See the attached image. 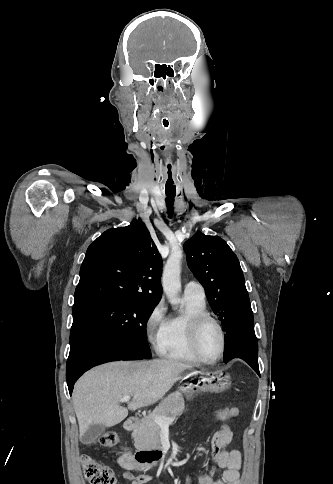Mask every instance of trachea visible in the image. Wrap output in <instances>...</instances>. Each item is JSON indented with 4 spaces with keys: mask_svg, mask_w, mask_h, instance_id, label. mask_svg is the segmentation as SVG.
<instances>
[{
    "mask_svg": "<svg viewBox=\"0 0 333 484\" xmlns=\"http://www.w3.org/2000/svg\"><path fill=\"white\" fill-rule=\"evenodd\" d=\"M163 125L165 127H168L169 123H168V120L166 119H163ZM167 171L169 172L168 175H167V184L169 186V189H168V192L169 193H173L174 190H175V177H174V173L171 172L172 171V165L171 164H168L167 165ZM165 202H166V206H167V212H168V215L169 217H171V215L173 214V204H174V197L173 196H167V198L165 199Z\"/></svg>",
    "mask_w": 333,
    "mask_h": 484,
    "instance_id": "trachea-1",
    "label": "trachea"
}]
</instances>
